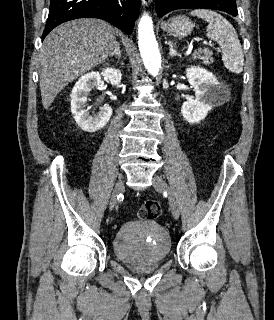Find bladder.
<instances>
[{
    "instance_id": "31cf9c89",
    "label": "bladder",
    "mask_w": 274,
    "mask_h": 320,
    "mask_svg": "<svg viewBox=\"0 0 274 320\" xmlns=\"http://www.w3.org/2000/svg\"><path fill=\"white\" fill-rule=\"evenodd\" d=\"M112 248L118 260L125 264L144 265L164 261L171 250L167 231L150 220H131L116 231Z\"/></svg>"
}]
</instances>
